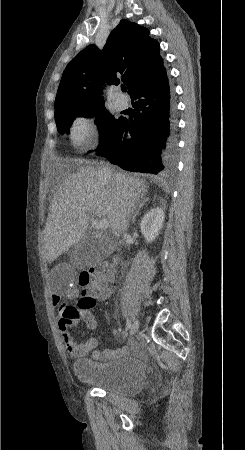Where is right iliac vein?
Listing matches in <instances>:
<instances>
[{
	"label": "right iliac vein",
	"mask_w": 245,
	"mask_h": 450,
	"mask_svg": "<svg viewBox=\"0 0 245 450\" xmlns=\"http://www.w3.org/2000/svg\"><path fill=\"white\" fill-rule=\"evenodd\" d=\"M139 328V321L138 319L134 320V323L132 324L131 328H130V334L133 335L138 331Z\"/></svg>",
	"instance_id": "1"
}]
</instances>
